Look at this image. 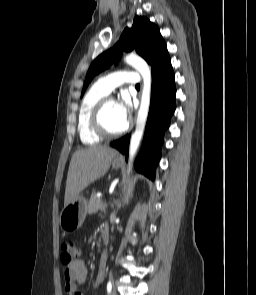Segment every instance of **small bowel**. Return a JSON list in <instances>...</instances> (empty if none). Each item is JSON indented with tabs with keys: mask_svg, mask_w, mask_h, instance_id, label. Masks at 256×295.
<instances>
[{
	"mask_svg": "<svg viewBox=\"0 0 256 295\" xmlns=\"http://www.w3.org/2000/svg\"><path fill=\"white\" fill-rule=\"evenodd\" d=\"M106 267V254H103L99 263V271L92 283L94 290L102 286ZM88 276V269L82 259L75 260L64 270V291L65 295H81L78 287L83 285Z\"/></svg>",
	"mask_w": 256,
	"mask_h": 295,
	"instance_id": "1",
	"label": "small bowel"
}]
</instances>
